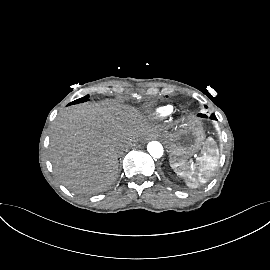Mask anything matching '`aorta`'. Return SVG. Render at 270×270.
Masks as SVG:
<instances>
[{
  "label": "aorta",
  "mask_w": 270,
  "mask_h": 270,
  "mask_svg": "<svg viewBox=\"0 0 270 270\" xmlns=\"http://www.w3.org/2000/svg\"><path fill=\"white\" fill-rule=\"evenodd\" d=\"M147 150L153 158H160L163 155V146L157 141L149 142Z\"/></svg>",
  "instance_id": "obj_1"
}]
</instances>
